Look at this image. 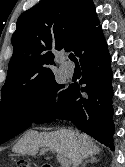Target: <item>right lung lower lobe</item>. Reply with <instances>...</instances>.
Wrapping results in <instances>:
<instances>
[{
	"mask_svg": "<svg viewBox=\"0 0 125 167\" xmlns=\"http://www.w3.org/2000/svg\"><path fill=\"white\" fill-rule=\"evenodd\" d=\"M79 57L83 71L80 84H71L64 99L53 104L35 123L70 120L81 131L113 150L111 58L102 31L83 48Z\"/></svg>",
	"mask_w": 125,
	"mask_h": 167,
	"instance_id": "1",
	"label": "right lung lower lobe"
}]
</instances>
